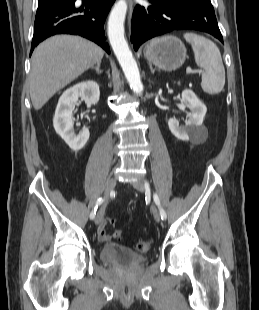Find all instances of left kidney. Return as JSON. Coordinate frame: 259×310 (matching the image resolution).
<instances>
[{"instance_id": "5707ae66", "label": "left kidney", "mask_w": 259, "mask_h": 310, "mask_svg": "<svg viewBox=\"0 0 259 310\" xmlns=\"http://www.w3.org/2000/svg\"><path fill=\"white\" fill-rule=\"evenodd\" d=\"M182 103L191 111L189 119L185 121V126H180L175 118L168 120V126L176 138L188 141L198 136L207 109L204 103L189 89H185L182 92Z\"/></svg>"}]
</instances>
